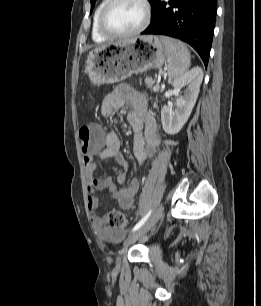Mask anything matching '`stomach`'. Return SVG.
I'll list each match as a JSON object with an SVG mask.
<instances>
[{"label": "stomach", "mask_w": 261, "mask_h": 306, "mask_svg": "<svg viewBox=\"0 0 261 306\" xmlns=\"http://www.w3.org/2000/svg\"><path fill=\"white\" fill-rule=\"evenodd\" d=\"M166 56L164 44L158 36H136L91 51L85 72L93 85L112 84L133 74L160 68Z\"/></svg>", "instance_id": "1"}]
</instances>
